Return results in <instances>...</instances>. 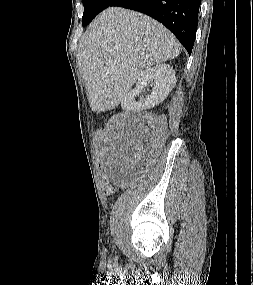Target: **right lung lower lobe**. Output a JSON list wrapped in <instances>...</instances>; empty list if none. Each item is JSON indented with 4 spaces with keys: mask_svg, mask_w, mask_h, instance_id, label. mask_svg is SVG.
Here are the masks:
<instances>
[{
    "mask_svg": "<svg viewBox=\"0 0 253 285\" xmlns=\"http://www.w3.org/2000/svg\"><path fill=\"white\" fill-rule=\"evenodd\" d=\"M201 0H115L119 6L147 14L166 26L192 52Z\"/></svg>",
    "mask_w": 253,
    "mask_h": 285,
    "instance_id": "98d812e1",
    "label": "right lung lower lobe"
}]
</instances>
